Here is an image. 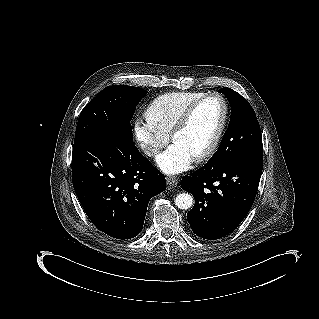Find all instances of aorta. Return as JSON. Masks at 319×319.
Here are the masks:
<instances>
[{
    "label": "aorta",
    "mask_w": 319,
    "mask_h": 319,
    "mask_svg": "<svg viewBox=\"0 0 319 319\" xmlns=\"http://www.w3.org/2000/svg\"><path fill=\"white\" fill-rule=\"evenodd\" d=\"M174 201L176 206L183 210H187L193 205V197L189 193L178 194Z\"/></svg>",
    "instance_id": "obj_1"
}]
</instances>
